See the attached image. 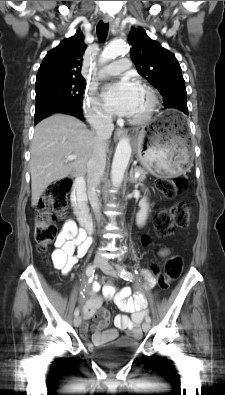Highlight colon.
I'll return each instance as SVG.
<instances>
[{"label":"colon","instance_id":"1","mask_svg":"<svg viewBox=\"0 0 225 395\" xmlns=\"http://www.w3.org/2000/svg\"><path fill=\"white\" fill-rule=\"evenodd\" d=\"M158 190L167 198H174L179 195L187 185L184 177L171 179H160L157 181ZM73 186V180L69 177L59 179L50 184L45 190L38 204L39 215L35 220L34 236L39 252H45L55 241L58 229L55 220L67 207V196ZM192 219L191 207L189 203L181 201L169 209L160 211L154 221L155 232L160 237H166L174 233L177 229L188 227ZM150 238L145 236L143 243L148 244ZM183 261L180 256H172L164 263L162 268H151V275H159L158 282L162 289L178 279L182 273ZM149 270L148 266L144 267ZM101 285H112V278H101Z\"/></svg>","mask_w":225,"mask_h":395}]
</instances>
